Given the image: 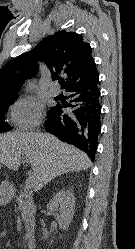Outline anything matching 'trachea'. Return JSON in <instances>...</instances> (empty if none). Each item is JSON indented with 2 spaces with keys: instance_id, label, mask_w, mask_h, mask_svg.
Masks as SVG:
<instances>
[{
  "instance_id": "3493384b",
  "label": "trachea",
  "mask_w": 135,
  "mask_h": 249,
  "mask_svg": "<svg viewBox=\"0 0 135 249\" xmlns=\"http://www.w3.org/2000/svg\"><path fill=\"white\" fill-rule=\"evenodd\" d=\"M63 82H64V81H62V80H61V81H59V83H60V84H63Z\"/></svg>"
}]
</instances>
